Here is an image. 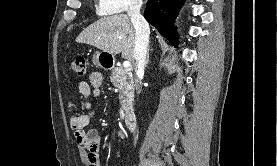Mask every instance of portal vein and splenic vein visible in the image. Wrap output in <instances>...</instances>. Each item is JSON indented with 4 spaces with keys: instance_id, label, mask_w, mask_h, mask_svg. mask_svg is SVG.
<instances>
[{
    "instance_id": "1",
    "label": "portal vein and splenic vein",
    "mask_w": 277,
    "mask_h": 166,
    "mask_svg": "<svg viewBox=\"0 0 277 166\" xmlns=\"http://www.w3.org/2000/svg\"><path fill=\"white\" fill-rule=\"evenodd\" d=\"M123 65L126 69H128V70L131 69V63L129 61H124Z\"/></svg>"
}]
</instances>
